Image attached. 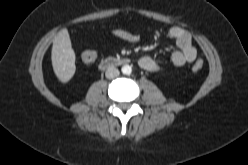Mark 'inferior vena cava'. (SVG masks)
<instances>
[{"label":"inferior vena cava","mask_w":248,"mask_h":165,"mask_svg":"<svg viewBox=\"0 0 248 165\" xmlns=\"http://www.w3.org/2000/svg\"><path fill=\"white\" fill-rule=\"evenodd\" d=\"M119 74H120L119 70L115 67H109L105 72V76L108 79L116 78L117 76H119Z\"/></svg>","instance_id":"obj_1"}]
</instances>
